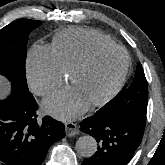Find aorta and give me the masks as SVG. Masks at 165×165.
<instances>
[{"label": "aorta", "mask_w": 165, "mask_h": 165, "mask_svg": "<svg viewBox=\"0 0 165 165\" xmlns=\"http://www.w3.org/2000/svg\"><path fill=\"white\" fill-rule=\"evenodd\" d=\"M76 151L84 157H91L97 151V141L90 135L81 136L76 141Z\"/></svg>", "instance_id": "obj_1"}]
</instances>
